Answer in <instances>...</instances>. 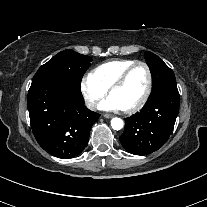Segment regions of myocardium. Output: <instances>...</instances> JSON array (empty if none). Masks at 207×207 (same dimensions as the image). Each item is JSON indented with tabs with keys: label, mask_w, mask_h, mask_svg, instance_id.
I'll return each mask as SVG.
<instances>
[{
	"label": "myocardium",
	"mask_w": 207,
	"mask_h": 207,
	"mask_svg": "<svg viewBox=\"0 0 207 207\" xmlns=\"http://www.w3.org/2000/svg\"><path fill=\"white\" fill-rule=\"evenodd\" d=\"M137 66L144 67V69L147 73V87H146V90H145L141 100L137 104H135L132 107L127 108V109H121V111L124 114H133V113L139 111L140 109H142L144 107V105L147 103V101L151 95L152 86H153V77H152V72H151L149 65L143 61H135L127 69H125L123 71V73L114 81V83L109 88V96H111V94L115 90L119 89L125 83L127 77L131 73V71Z\"/></svg>",
	"instance_id": "obj_1"
}]
</instances>
